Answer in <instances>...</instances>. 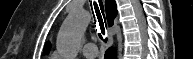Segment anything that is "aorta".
<instances>
[{
    "instance_id": "1",
    "label": "aorta",
    "mask_w": 193,
    "mask_h": 59,
    "mask_svg": "<svg viewBox=\"0 0 193 59\" xmlns=\"http://www.w3.org/2000/svg\"><path fill=\"white\" fill-rule=\"evenodd\" d=\"M90 20L89 12L84 9H76L67 16L57 38V47L63 57L68 59L76 57L79 39L87 29Z\"/></svg>"
}]
</instances>
